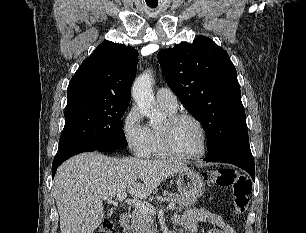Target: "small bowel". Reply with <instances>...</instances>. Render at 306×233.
<instances>
[{"label": "small bowel", "mask_w": 306, "mask_h": 233, "mask_svg": "<svg viewBox=\"0 0 306 233\" xmlns=\"http://www.w3.org/2000/svg\"><path fill=\"white\" fill-rule=\"evenodd\" d=\"M199 222H206L212 226L207 233H236L221 216L203 208L189 209L174 219V224L182 226L187 233H197Z\"/></svg>", "instance_id": "c3829d8e"}]
</instances>
